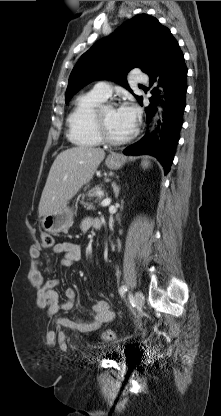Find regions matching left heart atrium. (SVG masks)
Instances as JSON below:
<instances>
[{"instance_id": "left-heart-atrium-1", "label": "left heart atrium", "mask_w": 221, "mask_h": 416, "mask_svg": "<svg viewBox=\"0 0 221 416\" xmlns=\"http://www.w3.org/2000/svg\"><path fill=\"white\" fill-rule=\"evenodd\" d=\"M118 114L131 133L136 125L138 109L131 103L124 104L118 109Z\"/></svg>"}]
</instances>
